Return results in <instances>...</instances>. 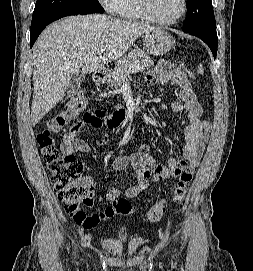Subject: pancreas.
<instances>
[{
  "mask_svg": "<svg viewBox=\"0 0 253 271\" xmlns=\"http://www.w3.org/2000/svg\"><path fill=\"white\" fill-rule=\"evenodd\" d=\"M137 65L141 67L140 71H144L145 69L152 67L154 62L143 50H132L116 64L114 71L111 73V78L109 80L110 85L115 88L120 87L123 80L130 74L129 68Z\"/></svg>",
  "mask_w": 253,
  "mask_h": 271,
  "instance_id": "pancreas-1",
  "label": "pancreas"
}]
</instances>
